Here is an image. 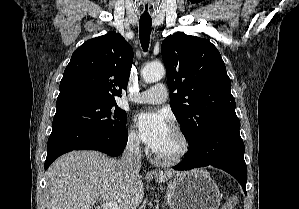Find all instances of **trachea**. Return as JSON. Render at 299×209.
Listing matches in <instances>:
<instances>
[{"label": "trachea", "instance_id": "obj_1", "mask_svg": "<svg viewBox=\"0 0 299 209\" xmlns=\"http://www.w3.org/2000/svg\"><path fill=\"white\" fill-rule=\"evenodd\" d=\"M152 19L150 17H140L139 38L144 51L148 50L151 34Z\"/></svg>", "mask_w": 299, "mask_h": 209}]
</instances>
